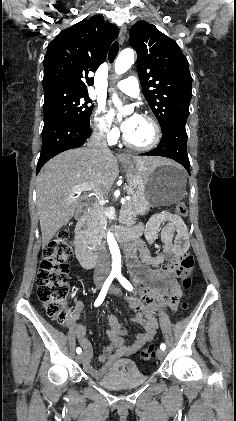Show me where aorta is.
<instances>
[{
    "mask_svg": "<svg viewBox=\"0 0 236 421\" xmlns=\"http://www.w3.org/2000/svg\"><path fill=\"white\" fill-rule=\"evenodd\" d=\"M134 62V50L133 48H124L121 50L119 56L116 58L115 62V72L117 74H123L126 70H129ZM107 241L112 255V273H120L121 271V255L118 249V245L113 237L112 233H107Z\"/></svg>",
    "mask_w": 236,
    "mask_h": 421,
    "instance_id": "aorta-1",
    "label": "aorta"
}]
</instances>
